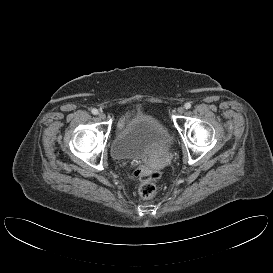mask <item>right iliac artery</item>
<instances>
[{
  "mask_svg": "<svg viewBox=\"0 0 273 273\" xmlns=\"http://www.w3.org/2000/svg\"><path fill=\"white\" fill-rule=\"evenodd\" d=\"M91 112H92V114H94V115H97V114H98V110L95 109V108H93V109L91 110Z\"/></svg>",
  "mask_w": 273,
  "mask_h": 273,
  "instance_id": "right-iliac-artery-1",
  "label": "right iliac artery"
}]
</instances>
